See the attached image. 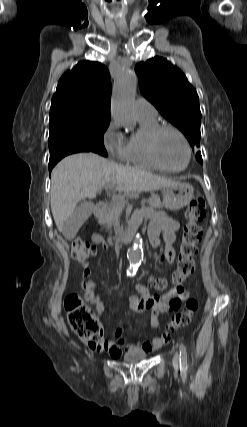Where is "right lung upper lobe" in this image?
I'll list each match as a JSON object with an SVG mask.
<instances>
[{"mask_svg":"<svg viewBox=\"0 0 247 427\" xmlns=\"http://www.w3.org/2000/svg\"><path fill=\"white\" fill-rule=\"evenodd\" d=\"M111 81L106 66L81 61L63 74L53 95L50 114L74 110L110 117Z\"/></svg>","mask_w":247,"mask_h":427,"instance_id":"right-lung-upper-lobe-1","label":"right lung upper lobe"}]
</instances>
